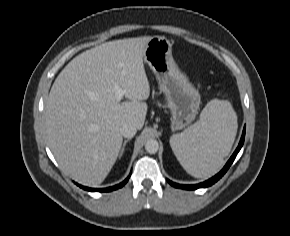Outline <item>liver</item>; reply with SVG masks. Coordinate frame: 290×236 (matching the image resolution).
<instances>
[{
    "instance_id": "1",
    "label": "liver",
    "mask_w": 290,
    "mask_h": 236,
    "mask_svg": "<svg viewBox=\"0 0 290 236\" xmlns=\"http://www.w3.org/2000/svg\"><path fill=\"white\" fill-rule=\"evenodd\" d=\"M150 36L105 42L73 58L55 79L45 105L49 146L62 171L97 187L119 155L120 128L142 129L150 94L143 56ZM118 87L130 101L116 99Z\"/></svg>"
}]
</instances>
